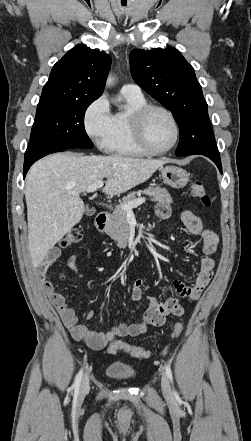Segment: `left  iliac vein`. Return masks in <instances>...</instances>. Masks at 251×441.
<instances>
[{
  "label": "left iliac vein",
  "instance_id": "left-iliac-vein-1",
  "mask_svg": "<svg viewBox=\"0 0 251 441\" xmlns=\"http://www.w3.org/2000/svg\"><path fill=\"white\" fill-rule=\"evenodd\" d=\"M161 388H162V392L165 397H168V398L172 397V389L170 386V382H169V379L165 373H162Z\"/></svg>",
  "mask_w": 251,
  "mask_h": 441
}]
</instances>
